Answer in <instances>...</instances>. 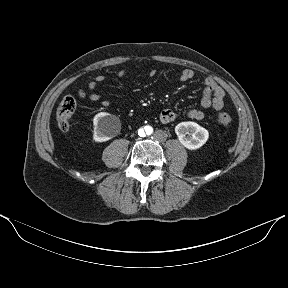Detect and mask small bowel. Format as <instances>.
Listing matches in <instances>:
<instances>
[{
    "mask_svg": "<svg viewBox=\"0 0 288 288\" xmlns=\"http://www.w3.org/2000/svg\"><path fill=\"white\" fill-rule=\"evenodd\" d=\"M126 72L120 70L117 73L119 78H123ZM194 72L191 69L185 68L180 72V80L182 82H187L193 79ZM105 76L98 75L95 77L94 81L89 84L91 90L89 98L92 101H101L103 107H109L110 102L108 100H101V96L95 92L98 85L104 82ZM224 105V91L223 89L212 79L206 78L204 81V90L201 101L197 107L189 108L181 113V116L185 119L190 120H201L204 117L205 111L213 108L214 110H221ZM178 117V114L171 110L165 109L160 115L159 119L162 123H171Z\"/></svg>",
    "mask_w": 288,
    "mask_h": 288,
    "instance_id": "1",
    "label": "small bowel"
}]
</instances>
